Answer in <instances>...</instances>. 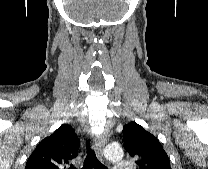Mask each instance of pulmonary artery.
I'll return each instance as SVG.
<instances>
[{
	"label": "pulmonary artery",
	"instance_id": "pulmonary-artery-1",
	"mask_svg": "<svg viewBox=\"0 0 208 169\" xmlns=\"http://www.w3.org/2000/svg\"><path fill=\"white\" fill-rule=\"evenodd\" d=\"M113 169H133L131 160L119 159Z\"/></svg>",
	"mask_w": 208,
	"mask_h": 169
}]
</instances>
